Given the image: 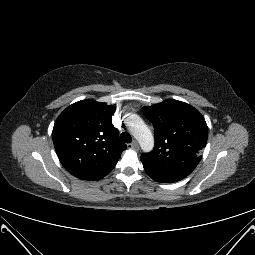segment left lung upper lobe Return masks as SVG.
Returning <instances> with one entry per match:
<instances>
[{
  "label": "left lung upper lobe",
  "mask_w": 255,
  "mask_h": 255,
  "mask_svg": "<svg viewBox=\"0 0 255 255\" xmlns=\"http://www.w3.org/2000/svg\"><path fill=\"white\" fill-rule=\"evenodd\" d=\"M155 129L154 149L140 159L146 173L155 181L176 182L198 165L207 143L204 117L193 106L167 99L143 108Z\"/></svg>",
  "instance_id": "left-lung-upper-lobe-1"
}]
</instances>
